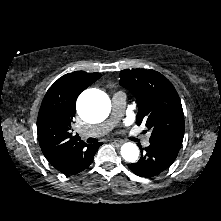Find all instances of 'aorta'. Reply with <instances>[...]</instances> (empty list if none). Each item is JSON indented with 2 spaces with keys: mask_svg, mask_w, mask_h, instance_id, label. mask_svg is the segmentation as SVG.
<instances>
[{
  "mask_svg": "<svg viewBox=\"0 0 221 221\" xmlns=\"http://www.w3.org/2000/svg\"><path fill=\"white\" fill-rule=\"evenodd\" d=\"M108 98L100 93H84L77 101V112L87 122L103 120L109 112ZM121 156L127 162H135L139 157L138 147L131 142L124 143L121 147Z\"/></svg>",
  "mask_w": 221,
  "mask_h": 221,
  "instance_id": "aorta-1",
  "label": "aorta"
}]
</instances>
